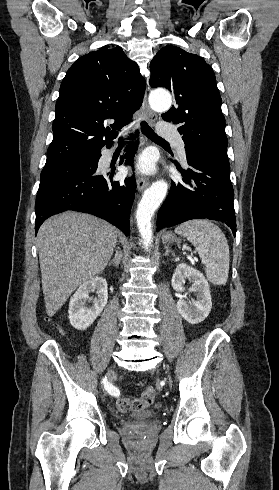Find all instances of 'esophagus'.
Listing matches in <instances>:
<instances>
[{
  "label": "esophagus",
  "mask_w": 279,
  "mask_h": 490,
  "mask_svg": "<svg viewBox=\"0 0 279 490\" xmlns=\"http://www.w3.org/2000/svg\"><path fill=\"white\" fill-rule=\"evenodd\" d=\"M143 108L146 112V115H147V120L150 124H153L156 122L157 120V115L156 113H154L149 105H148V101H147V89H146V92H145V95H144V99H143ZM149 185V180L146 176L144 175H139L138 179H137V190L139 192H142V190H144L147 186Z\"/></svg>",
  "instance_id": "34e87169"
}]
</instances>
